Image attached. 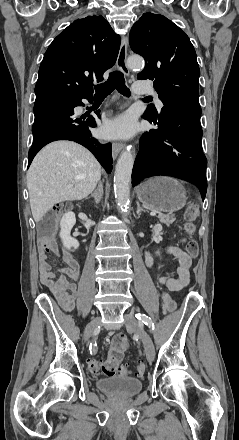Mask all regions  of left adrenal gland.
I'll return each mask as SVG.
<instances>
[{
    "label": "left adrenal gland",
    "mask_w": 239,
    "mask_h": 440,
    "mask_svg": "<svg viewBox=\"0 0 239 440\" xmlns=\"http://www.w3.org/2000/svg\"><path fill=\"white\" fill-rule=\"evenodd\" d=\"M141 212H145V210H143V208H140L139 204H137V212H136V214H138V216H140Z\"/></svg>",
    "instance_id": "1"
}]
</instances>
